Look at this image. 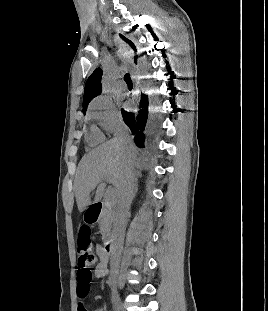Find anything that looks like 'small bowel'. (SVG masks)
I'll list each match as a JSON object with an SVG mask.
<instances>
[{
  "mask_svg": "<svg viewBox=\"0 0 268 311\" xmlns=\"http://www.w3.org/2000/svg\"><path fill=\"white\" fill-rule=\"evenodd\" d=\"M95 249H96L97 259H95L93 261V263L95 264L94 276L96 279H99V278L103 277L107 272V263H108L109 257H108V254L106 253L104 247L101 246L100 244H96ZM76 293H77V297L79 299L84 298L83 296L79 295V293H78V284L76 287ZM77 310L78 311H86V309L84 308V306L81 302L78 303Z\"/></svg>",
  "mask_w": 268,
  "mask_h": 311,
  "instance_id": "1",
  "label": "small bowel"
}]
</instances>
